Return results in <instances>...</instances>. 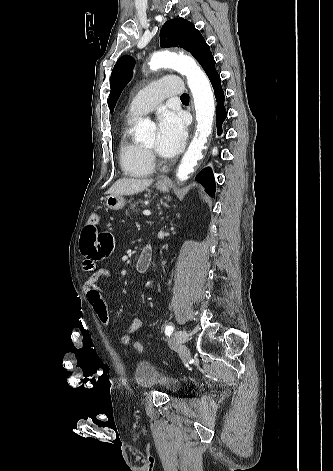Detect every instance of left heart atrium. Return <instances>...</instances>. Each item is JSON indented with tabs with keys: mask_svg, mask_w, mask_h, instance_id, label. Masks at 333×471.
<instances>
[{
	"mask_svg": "<svg viewBox=\"0 0 333 471\" xmlns=\"http://www.w3.org/2000/svg\"><path fill=\"white\" fill-rule=\"evenodd\" d=\"M185 139L186 124L183 117L175 111H161L158 115L157 152L172 157L182 149Z\"/></svg>",
	"mask_w": 333,
	"mask_h": 471,
	"instance_id": "39dd6f15",
	"label": "left heart atrium"
}]
</instances>
